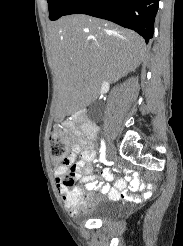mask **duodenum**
<instances>
[{"label": "duodenum", "mask_w": 183, "mask_h": 246, "mask_svg": "<svg viewBox=\"0 0 183 246\" xmlns=\"http://www.w3.org/2000/svg\"><path fill=\"white\" fill-rule=\"evenodd\" d=\"M80 115V113L75 114V118H77ZM83 131L89 138H94L97 132L96 126L90 122L85 121L83 124Z\"/></svg>", "instance_id": "410a0bca"}]
</instances>
